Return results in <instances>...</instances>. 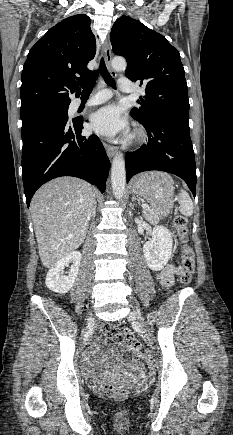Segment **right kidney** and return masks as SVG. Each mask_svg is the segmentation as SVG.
<instances>
[{"instance_id":"1","label":"right kidney","mask_w":233,"mask_h":435,"mask_svg":"<svg viewBox=\"0 0 233 435\" xmlns=\"http://www.w3.org/2000/svg\"><path fill=\"white\" fill-rule=\"evenodd\" d=\"M81 262V253L74 251L57 263H55L48 271L46 276V286L48 289L55 293L65 294L73 286L76 277L78 275L79 267ZM71 269L68 275H63V269L65 266L71 264Z\"/></svg>"}]
</instances>
